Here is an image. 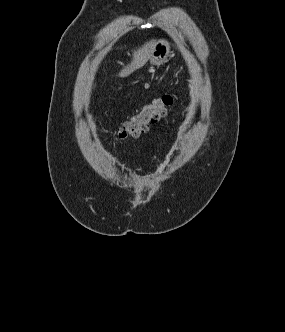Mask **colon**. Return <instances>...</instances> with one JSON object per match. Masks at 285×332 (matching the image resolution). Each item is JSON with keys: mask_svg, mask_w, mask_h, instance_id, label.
Here are the masks:
<instances>
[{"mask_svg": "<svg viewBox=\"0 0 285 332\" xmlns=\"http://www.w3.org/2000/svg\"><path fill=\"white\" fill-rule=\"evenodd\" d=\"M173 102L174 97L172 95H164L146 104L138 113L121 125L117 132V138L124 141L139 136L147 130L151 123L155 122V115L164 117Z\"/></svg>", "mask_w": 285, "mask_h": 332, "instance_id": "colon-1", "label": "colon"}]
</instances>
